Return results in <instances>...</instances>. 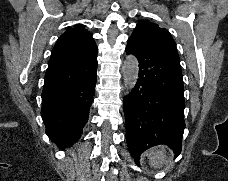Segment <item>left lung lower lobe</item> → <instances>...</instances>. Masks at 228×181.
<instances>
[{
	"mask_svg": "<svg viewBox=\"0 0 228 181\" xmlns=\"http://www.w3.org/2000/svg\"><path fill=\"white\" fill-rule=\"evenodd\" d=\"M126 53L139 62V78L123 106L130 154L138 162L146 149L166 144L178 156L185 128L179 57L130 38Z\"/></svg>",
	"mask_w": 228,
	"mask_h": 181,
	"instance_id": "obj_1",
	"label": "left lung lower lobe"
}]
</instances>
